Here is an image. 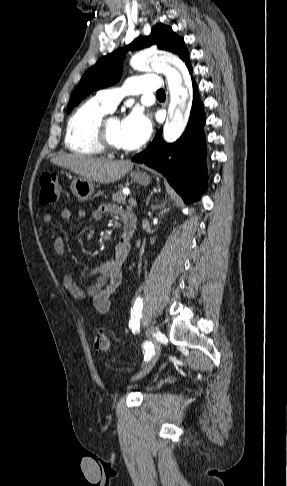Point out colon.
Listing matches in <instances>:
<instances>
[{
	"mask_svg": "<svg viewBox=\"0 0 287 486\" xmlns=\"http://www.w3.org/2000/svg\"><path fill=\"white\" fill-rule=\"evenodd\" d=\"M60 194V186L57 177L52 172L44 173L40 178V190L38 202L42 207L54 203ZM94 346L98 350L105 351L110 346V339L106 330L98 328L94 331Z\"/></svg>",
	"mask_w": 287,
	"mask_h": 486,
	"instance_id": "obj_1",
	"label": "colon"
}]
</instances>
